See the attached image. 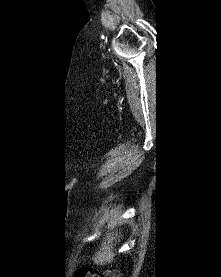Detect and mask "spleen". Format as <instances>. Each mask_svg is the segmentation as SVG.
<instances>
[{
  "mask_svg": "<svg viewBox=\"0 0 221 277\" xmlns=\"http://www.w3.org/2000/svg\"><path fill=\"white\" fill-rule=\"evenodd\" d=\"M115 238L108 237L107 240L102 244V248L97 253V257L95 258L96 263H105V262H111L115 256L113 249V240Z\"/></svg>",
  "mask_w": 221,
  "mask_h": 277,
  "instance_id": "obj_1",
  "label": "spleen"
}]
</instances>
